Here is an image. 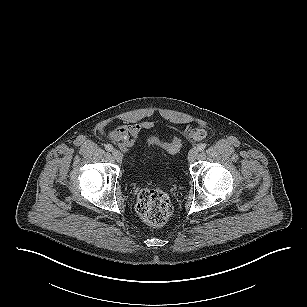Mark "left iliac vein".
Segmentation results:
<instances>
[{
    "mask_svg": "<svg viewBox=\"0 0 307 307\" xmlns=\"http://www.w3.org/2000/svg\"><path fill=\"white\" fill-rule=\"evenodd\" d=\"M197 155H198V149L192 148V149L189 151V153H188V161H189L190 163L194 162L195 159H196V157H197Z\"/></svg>",
    "mask_w": 307,
    "mask_h": 307,
    "instance_id": "4c4485c4",
    "label": "left iliac vein"
}]
</instances>
